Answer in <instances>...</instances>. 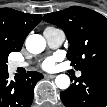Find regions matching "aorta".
<instances>
[{"label":"aorta","mask_w":107,"mask_h":107,"mask_svg":"<svg viewBox=\"0 0 107 107\" xmlns=\"http://www.w3.org/2000/svg\"><path fill=\"white\" fill-rule=\"evenodd\" d=\"M26 49L32 54H39L46 47V40L39 34L29 35L25 42ZM55 84L60 89H67L70 86V78L66 74H60L55 79Z\"/></svg>","instance_id":"obj_1"}]
</instances>
